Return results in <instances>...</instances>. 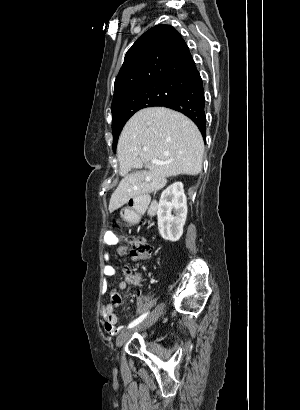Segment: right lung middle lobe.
Wrapping results in <instances>:
<instances>
[{"label": "right lung middle lobe", "mask_w": 300, "mask_h": 410, "mask_svg": "<svg viewBox=\"0 0 300 410\" xmlns=\"http://www.w3.org/2000/svg\"><path fill=\"white\" fill-rule=\"evenodd\" d=\"M185 85L181 82L159 83L133 88L120 95L116 101V110L112 113L113 150H116L123 126L135 112L146 107L161 106L173 99Z\"/></svg>", "instance_id": "right-lung-middle-lobe-1"}]
</instances>
